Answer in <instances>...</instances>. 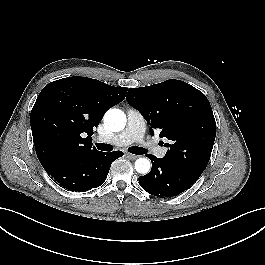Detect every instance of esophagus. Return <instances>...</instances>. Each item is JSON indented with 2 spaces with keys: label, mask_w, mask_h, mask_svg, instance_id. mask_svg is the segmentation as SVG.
<instances>
[{
  "label": "esophagus",
  "mask_w": 265,
  "mask_h": 265,
  "mask_svg": "<svg viewBox=\"0 0 265 265\" xmlns=\"http://www.w3.org/2000/svg\"><path fill=\"white\" fill-rule=\"evenodd\" d=\"M126 155H127L130 159H132V160H135V159L138 158L137 155H134V154H131V153H127Z\"/></svg>",
  "instance_id": "esophagus-1"
}]
</instances>
